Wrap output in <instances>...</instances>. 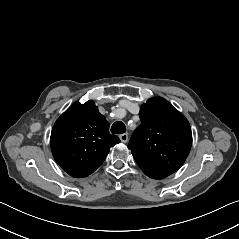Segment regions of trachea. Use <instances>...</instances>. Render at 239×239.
Segmentation results:
<instances>
[{
	"instance_id": "1",
	"label": "trachea",
	"mask_w": 239,
	"mask_h": 239,
	"mask_svg": "<svg viewBox=\"0 0 239 239\" xmlns=\"http://www.w3.org/2000/svg\"><path fill=\"white\" fill-rule=\"evenodd\" d=\"M126 132V126L123 122L117 121L111 127V133L113 134H123Z\"/></svg>"
}]
</instances>
